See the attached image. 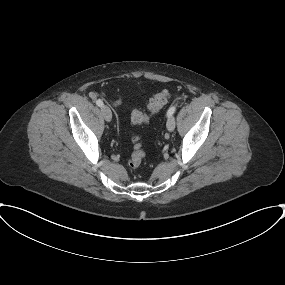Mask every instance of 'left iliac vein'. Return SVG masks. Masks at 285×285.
I'll return each mask as SVG.
<instances>
[{
  "label": "left iliac vein",
  "mask_w": 285,
  "mask_h": 285,
  "mask_svg": "<svg viewBox=\"0 0 285 285\" xmlns=\"http://www.w3.org/2000/svg\"><path fill=\"white\" fill-rule=\"evenodd\" d=\"M167 129L172 132L175 129V117L174 116H169L167 119Z\"/></svg>",
  "instance_id": "obj_1"
}]
</instances>
